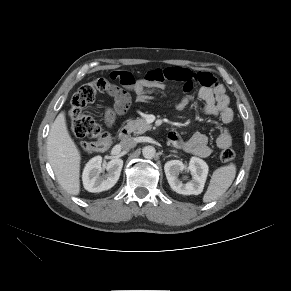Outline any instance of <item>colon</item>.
Returning a JSON list of instances; mask_svg holds the SVG:
<instances>
[{
  "label": "colon",
  "mask_w": 291,
  "mask_h": 291,
  "mask_svg": "<svg viewBox=\"0 0 291 291\" xmlns=\"http://www.w3.org/2000/svg\"><path fill=\"white\" fill-rule=\"evenodd\" d=\"M112 88L110 81L104 77H98L91 82L82 85L73 95L69 117L74 133L79 138H87L82 141L81 148L86 152H98L105 150L110 144V135L103 130L99 123L85 109L91 104L98 93L109 92ZM223 162H231L235 159V152L230 147H224L219 153Z\"/></svg>",
  "instance_id": "obj_1"
}]
</instances>
